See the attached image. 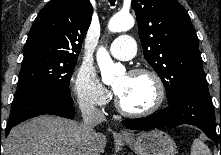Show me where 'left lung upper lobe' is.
<instances>
[{
    "label": "left lung upper lobe",
    "mask_w": 221,
    "mask_h": 155,
    "mask_svg": "<svg viewBox=\"0 0 221 155\" xmlns=\"http://www.w3.org/2000/svg\"><path fill=\"white\" fill-rule=\"evenodd\" d=\"M147 62L160 76L173 102L185 89L207 84L198 38L177 0H132Z\"/></svg>",
    "instance_id": "obj_1"
}]
</instances>
